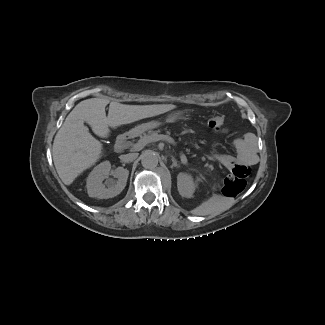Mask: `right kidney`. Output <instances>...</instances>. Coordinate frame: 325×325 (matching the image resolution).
<instances>
[{
  "mask_svg": "<svg viewBox=\"0 0 325 325\" xmlns=\"http://www.w3.org/2000/svg\"><path fill=\"white\" fill-rule=\"evenodd\" d=\"M111 169L109 161H104L97 165L87 178V192L89 197L108 199L120 194L126 186L129 171L123 167H118L113 172L114 179H109L103 184V180L108 178Z\"/></svg>",
  "mask_w": 325,
  "mask_h": 325,
  "instance_id": "ca27d5eb",
  "label": "right kidney"
}]
</instances>
